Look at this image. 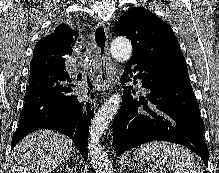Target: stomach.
<instances>
[{
  "mask_svg": "<svg viewBox=\"0 0 219 173\" xmlns=\"http://www.w3.org/2000/svg\"><path fill=\"white\" fill-rule=\"evenodd\" d=\"M128 164H130V166H134V160H128Z\"/></svg>",
  "mask_w": 219,
  "mask_h": 173,
  "instance_id": "obj_1",
  "label": "stomach"
}]
</instances>
